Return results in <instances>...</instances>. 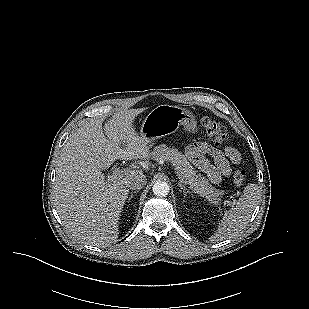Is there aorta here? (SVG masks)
Here are the masks:
<instances>
[{"instance_id": "1", "label": "aorta", "mask_w": 309, "mask_h": 309, "mask_svg": "<svg viewBox=\"0 0 309 309\" xmlns=\"http://www.w3.org/2000/svg\"><path fill=\"white\" fill-rule=\"evenodd\" d=\"M153 193L158 197L168 195L170 187L166 182H156L152 187Z\"/></svg>"}]
</instances>
